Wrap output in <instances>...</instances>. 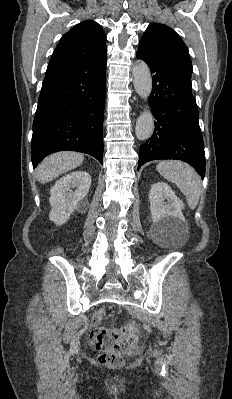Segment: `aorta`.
Wrapping results in <instances>:
<instances>
[{
	"label": "aorta",
	"mask_w": 232,
	"mask_h": 399,
	"mask_svg": "<svg viewBox=\"0 0 232 399\" xmlns=\"http://www.w3.org/2000/svg\"><path fill=\"white\" fill-rule=\"evenodd\" d=\"M134 88L144 100L148 99L152 90V78L148 65L139 61L133 66ZM154 130V118L148 107L140 114L136 122L135 133L139 140H147Z\"/></svg>",
	"instance_id": "762f6f07"
}]
</instances>
